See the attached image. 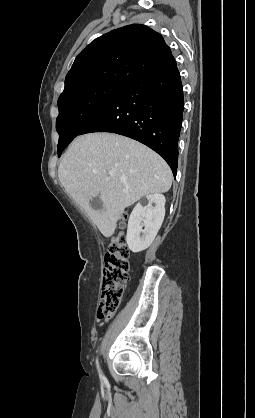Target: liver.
I'll list each match as a JSON object with an SVG mask.
<instances>
[{
	"mask_svg": "<svg viewBox=\"0 0 255 418\" xmlns=\"http://www.w3.org/2000/svg\"><path fill=\"white\" fill-rule=\"evenodd\" d=\"M58 177L105 237L113 235L125 208L143 196L165 193L172 185L171 169L157 153L113 133L77 137L59 165ZM97 195L101 210L90 205Z\"/></svg>",
	"mask_w": 255,
	"mask_h": 418,
	"instance_id": "6515ba94",
	"label": "liver"
}]
</instances>
